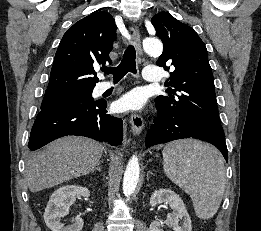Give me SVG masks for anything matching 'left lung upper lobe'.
<instances>
[{
  "label": "left lung upper lobe",
  "instance_id": "left-lung-upper-lobe-1",
  "mask_svg": "<svg viewBox=\"0 0 261 231\" xmlns=\"http://www.w3.org/2000/svg\"><path fill=\"white\" fill-rule=\"evenodd\" d=\"M151 23L164 45L157 65L167 71L174 69L168 84L175 89H168L167 96H158L156 106L180 112L224 136L205 44L191 27L167 12L153 16Z\"/></svg>",
  "mask_w": 261,
  "mask_h": 231
}]
</instances>
